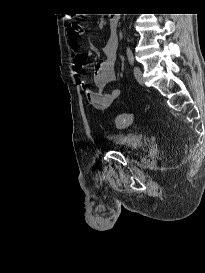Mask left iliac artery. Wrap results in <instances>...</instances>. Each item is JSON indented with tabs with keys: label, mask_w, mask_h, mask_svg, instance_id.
<instances>
[{
	"label": "left iliac artery",
	"mask_w": 205,
	"mask_h": 273,
	"mask_svg": "<svg viewBox=\"0 0 205 273\" xmlns=\"http://www.w3.org/2000/svg\"><path fill=\"white\" fill-rule=\"evenodd\" d=\"M127 58H128V61L131 65L134 64V56H133V53H132V50L130 49V47H127Z\"/></svg>",
	"instance_id": "left-iliac-artery-1"
}]
</instances>
